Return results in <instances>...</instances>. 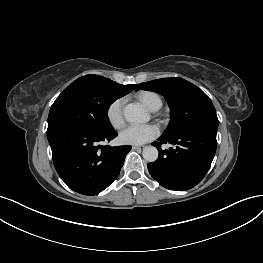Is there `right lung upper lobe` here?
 Listing matches in <instances>:
<instances>
[{"mask_svg": "<svg viewBox=\"0 0 263 263\" xmlns=\"http://www.w3.org/2000/svg\"><path fill=\"white\" fill-rule=\"evenodd\" d=\"M78 80H93L96 81L108 88H110L113 92L117 93L118 95H120L121 97L128 94L129 92H131L136 85H120L110 79H107L105 77L102 76H98V75H87V76H83L78 78Z\"/></svg>", "mask_w": 263, "mask_h": 263, "instance_id": "1", "label": "right lung upper lobe"}]
</instances>
